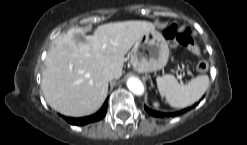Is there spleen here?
Wrapping results in <instances>:
<instances>
[{
  "instance_id": "obj_1",
  "label": "spleen",
  "mask_w": 247,
  "mask_h": 145,
  "mask_svg": "<svg viewBox=\"0 0 247 145\" xmlns=\"http://www.w3.org/2000/svg\"><path fill=\"white\" fill-rule=\"evenodd\" d=\"M157 87L167 103L175 108H185L197 102L209 87V77L200 75L188 84H179L173 75L156 78Z\"/></svg>"
}]
</instances>
